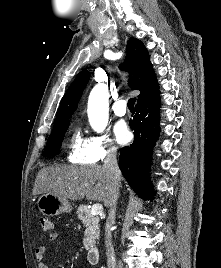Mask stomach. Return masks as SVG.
<instances>
[{
    "instance_id": "0dacf381",
    "label": "stomach",
    "mask_w": 221,
    "mask_h": 268,
    "mask_svg": "<svg viewBox=\"0 0 221 268\" xmlns=\"http://www.w3.org/2000/svg\"><path fill=\"white\" fill-rule=\"evenodd\" d=\"M40 212L49 217L57 216L63 212H71L72 206L67 199L51 193H43L37 200Z\"/></svg>"
}]
</instances>
